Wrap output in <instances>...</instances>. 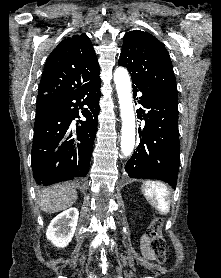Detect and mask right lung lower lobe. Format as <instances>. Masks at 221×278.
Wrapping results in <instances>:
<instances>
[{"label":"right lung lower lobe","mask_w":221,"mask_h":278,"mask_svg":"<svg viewBox=\"0 0 221 278\" xmlns=\"http://www.w3.org/2000/svg\"><path fill=\"white\" fill-rule=\"evenodd\" d=\"M101 80L85 87L37 99L31 152L33 177L39 185L85 177L89 170L96 136ZM87 107L84 108L83 106ZM77 120L76 132L70 125ZM78 124H81L78 126Z\"/></svg>","instance_id":"98d812e1"}]
</instances>
